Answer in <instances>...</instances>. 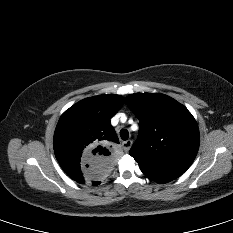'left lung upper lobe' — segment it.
Segmentation results:
<instances>
[{"mask_svg": "<svg viewBox=\"0 0 233 233\" xmlns=\"http://www.w3.org/2000/svg\"><path fill=\"white\" fill-rule=\"evenodd\" d=\"M126 104L140 121L130 155L140 167L184 173L199 148L198 125L188 109L160 93H135Z\"/></svg>", "mask_w": 233, "mask_h": 233, "instance_id": "5c2ea615", "label": "left lung upper lobe"}]
</instances>
